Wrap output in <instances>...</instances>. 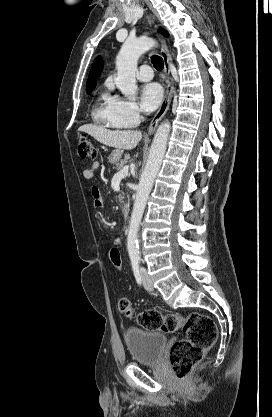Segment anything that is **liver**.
<instances>
[{
    "label": "liver",
    "instance_id": "1",
    "mask_svg": "<svg viewBox=\"0 0 272 417\" xmlns=\"http://www.w3.org/2000/svg\"><path fill=\"white\" fill-rule=\"evenodd\" d=\"M78 131L85 132L100 143L118 149H134L142 139V133L134 130H109L102 126L86 124Z\"/></svg>",
    "mask_w": 272,
    "mask_h": 417
}]
</instances>
